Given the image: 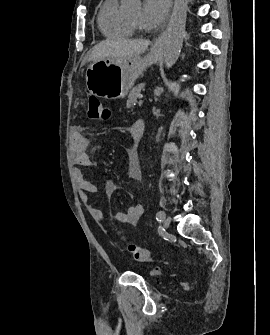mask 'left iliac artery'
<instances>
[{"label": "left iliac artery", "instance_id": "1", "mask_svg": "<svg viewBox=\"0 0 270 335\" xmlns=\"http://www.w3.org/2000/svg\"><path fill=\"white\" fill-rule=\"evenodd\" d=\"M165 218V212L164 211H159L156 214V219L157 221L161 222Z\"/></svg>", "mask_w": 270, "mask_h": 335}]
</instances>
